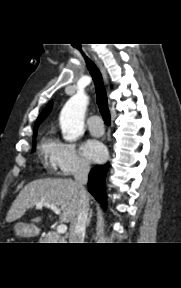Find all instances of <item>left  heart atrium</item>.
Wrapping results in <instances>:
<instances>
[{"label":"left heart atrium","instance_id":"left-heart-atrium-1","mask_svg":"<svg viewBox=\"0 0 181 288\" xmlns=\"http://www.w3.org/2000/svg\"><path fill=\"white\" fill-rule=\"evenodd\" d=\"M82 151L87 159L94 162L102 161L106 156L104 145L94 139L87 140L82 146Z\"/></svg>","mask_w":181,"mask_h":288}]
</instances>
